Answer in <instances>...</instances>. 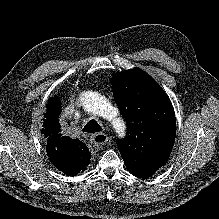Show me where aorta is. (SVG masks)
Masks as SVG:
<instances>
[{
  "instance_id": "1",
  "label": "aorta",
  "mask_w": 219,
  "mask_h": 219,
  "mask_svg": "<svg viewBox=\"0 0 219 219\" xmlns=\"http://www.w3.org/2000/svg\"><path fill=\"white\" fill-rule=\"evenodd\" d=\"M82 106L90 113L108 119L119 136L125 134L124 121L115 115V108L109 103L107 98L98 92L84 91L81 94Z\"/></svg>"
}]
</instances>
